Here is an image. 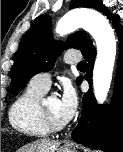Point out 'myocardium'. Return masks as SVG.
I'll return each mask as SVG.
<instances>
[{
  "label": "myocardium",
  "instance_id": "obj_1",
  "mask_svg": "<svg viewBox=\"0 0 123 152\" xmlns=\"http://www.w3.org/2000/svg\"><path fill=\"white\" fill-rule=\"evenodd\" d=\"M40 111L46 127L51 132H57L64 129L67 125L65 121L56 120L46 109L45 105H40Z\"/></svg>",
  "mask_w": 123,
  "mask_h": 152
}]
</instances>
